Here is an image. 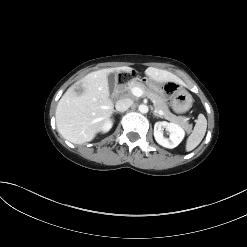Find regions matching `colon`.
<instances>
[{"mask_svg":"<svg viewBox=\"0 0 247 247\" xmlns=\"http://www.w3.org/2000/svg\"><path fill=\"white\" fill-rule=\"evenodd\" d=\"M129 80V74L128 73H120L119 76H118V82L120 84H124L126 83L127 81Z\"/></svg>","mask_w":247,"mask_h":247,"instance_id":"5ec220e1","label":"colon"}]
</instances>
